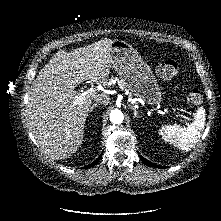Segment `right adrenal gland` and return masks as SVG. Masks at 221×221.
<instances>
[{
	"label": "right adrenal gland",
	"mask_w": 221,
	"mask_h": 221,
	"mask_svg": "<svg viewBox=\"0 0 221 221\" xmlns=\"http://www.w3.org/2000/svg\"><path fill=\"white\" fill-rule=\"evenodd\" d=\"M97 106H98V104H97V103L93 104V105L90 107V110H89V111H90V112H92V111H93V109H94V108H96Z\"/></svg>",
	"instance_id": "2a0ac1e0"
}]
</instances>
